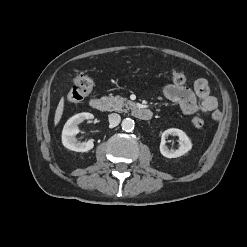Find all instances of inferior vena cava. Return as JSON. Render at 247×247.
Listing matches in <instances>:
<instances>
[{
  "instance_id": "obj_1",
  "label": "inferior vena cava",
  "mask_w": 247,
  "mask_h": 247,
  "mask_svg": "<svg viewBox=\"0 0 247 247\" xmlns=\"http://www.w3.org/2000/svg\"><path fill=\"white\" fill-rule=\"evenodd\" d=\"M108 119H109V123H110V125L111 126H117L119 123H120V121H121V117H120V115L119 114H117V113H112V114H110L109 116H108Z\"/></svg>"
}]
</instances>
